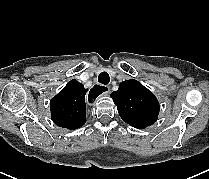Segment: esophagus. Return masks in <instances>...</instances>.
<instances>
[{
  "mask_svg": "<svg viewBox=\"0 0 209 179\" xmlns=\"http://www.w3.org/2000/svg\"><path fill=\"white\" fill-rule=\"evenodd\" d=\"M103 92L104 95L109 94L110 92V87L109 86H99V85H95L89 92V97H88V102L89 103H94L97 96H99L101 93Z\"/></svg>",
  "mask_w": 209,
  "mask_h": 179,
  "instance_id": "34e87169",
  "label": "esophagus"
}]
</instances>
